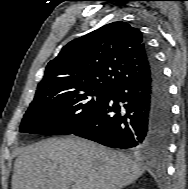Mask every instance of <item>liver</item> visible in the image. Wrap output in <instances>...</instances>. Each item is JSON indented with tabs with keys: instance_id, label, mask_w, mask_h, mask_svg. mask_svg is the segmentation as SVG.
Listing matches in <instances>:
<instances>
[{
	"instance_id": "obj_1",
	"label": "liver",
	"mask_w": 188,
	"mask_h": 189,
	"mask_svg": "<svg viewBox=\"0 0 188 189\" xmlns=\"http://www.w3.org/2000/svg\"><path fill=\"white\" fill-rule=\"evenodd\" d=\"M144 168L124 154L81 138H51L22 149L12 189H121Z\"/></svg>"
}]
</instances>
